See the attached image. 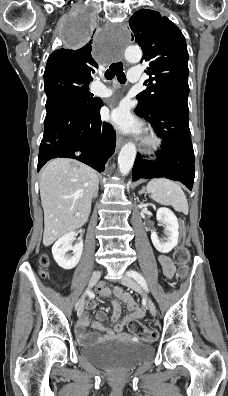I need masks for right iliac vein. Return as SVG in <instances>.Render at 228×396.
Masks as SVG:
<instances>
[{
    "instance_id": "obj_1",
    "label": "right iliac vein",
    "mask_w": 228,
    "mask_h": 396,
    "mask_svg": "<svg viewBox=\"0 0 228 396\" xmlns=\"http://www.w3.org/2000/svg\"><path fill=\"white\" fill-rule=\"evenodd\" d=\"M100 277H101V271H99V270H98V271H95V272L92 274V276H91V278H90V280H89L88 288H89V289L92 288V287L98 282V280L100 279ZM84 304H85V298H82L81 301H80V304H79V306H78V310H77V315H78V317H80V316L82 315V313H83Z\"/></svg>"
}]
</instances>
